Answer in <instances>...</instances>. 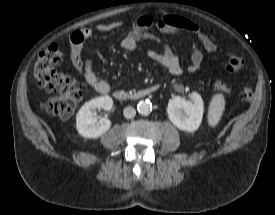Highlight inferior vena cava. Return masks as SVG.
<instances>
[{"mask_svg": "<svg viewBox=\"0 0 275 215\" xmlns=\"http://www.w3.org/2000/svg\"><path fill=\"white\" fill-rule=\"evenodd\" d=\"M123 115L127 119L133 118L136 115V110L131 106L125 107L123 111Z\"/></svg>", "mask_w": 275, "mask_h": 215, "instance_id": "inferior-vena-cava-1", "label": "inferior vena cava"}]
</instances>
